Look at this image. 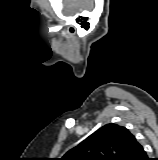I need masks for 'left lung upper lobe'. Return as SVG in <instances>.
Masks as SVG:
<instances>
[{"label":"left lung upper lobe","mask_w":158,"mask_h":160,"mask_svg":"<svg viewBox=\"0 0 158 160\" xmlns=\"http://www.w3.org/2000/svg\"><path fill=\"white\" fill-rule=\"evenodd\" d=\"M135 142L136 138L125 127L107 124L69 150L61 160H127Z\"/></svg>","instance_id":"5c2ea615"}]
</instances>
